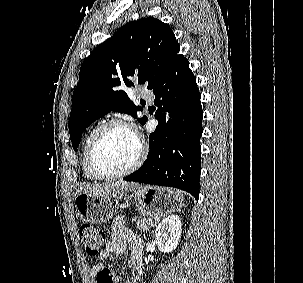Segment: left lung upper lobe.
Here are the masks:
<instances>
[{
    "mask_svg": "<svg viewBox=\"0 0 303 283\" xmlns=\"http://www.w3.org/2000/svg\"><path fill=\"white\" fill-rule=\"evenodd\" d=\"M180 47L169 25L141 18L121 27L84 60L73 92L69 133L76 150L84 130L110 111L137 117L126 90L135 83L153 89L177 59ZM144 116L138 121L143 125Z\"/></svg>",
    "mask_w": 303,
    "mask_h": 283,
    "instance_id": "left-lung-upper-lobe-1",
    "label": "left lung upper lobe"
}]
</instances>
